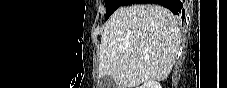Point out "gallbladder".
Wrapping results in <instances>:
<instances>
[{"mask_svg":"<svg viewBox=\"0 0 227 88\" xmlns=\"http://www.w3.org/2000/svg\"><path fill=\"white\" fill-rule=\"evenodd\" d=\"M116 84L111 76H103L99 81V88H115Z\"/></svg>","mask_w":227,"mask_h":88,"instance_id":"obj_1","label":"gallbladder"}]
</instances>
